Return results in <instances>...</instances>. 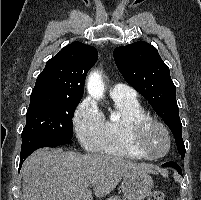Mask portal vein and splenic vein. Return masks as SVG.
<instances>
[{"label": "portal vein and splenic vein", "mask_w": 201, "mask_h": 200, "mask_svg": "<svg viewBox=\"0 0 201 200\" xmlns=\"http://www.w3.org/2000/svg\"><path fill=\"white\" fill-rule=\"evenodd\" d=\"M90 184H91V186H92V185H94V184H95V182H91Z\"/></svg>", "instance_id": "1"}]
</instances>
